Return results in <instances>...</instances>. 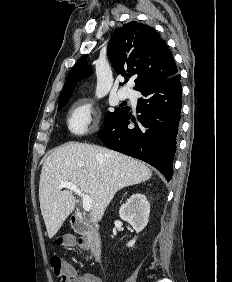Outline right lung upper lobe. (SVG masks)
I'll use <instances>...</instances> for the list:
<instances>
[{
  "instance_id": "obj_1",
  "label": "right lung upper lobe",
  "mask_w": 232,
  "mask_h": 282,
  "mask_svg": "<svg viewBox=\"0 0 232 282\" xmlns=\"http://www.w3.org/2000/svg\"><path fill=\"white\" fill-rule=\"evenodd\" d=\"M86 57L79 59L72 68L59 100L71 96L76 82L91 75ZM108 57L117 74L126 77L129 75L126 72L138 75L135 90L149 82L167 79L178 72L165 41L154 28L138 22H130L116 29L109 42Z\"/></svg>"
}]
</instances>
